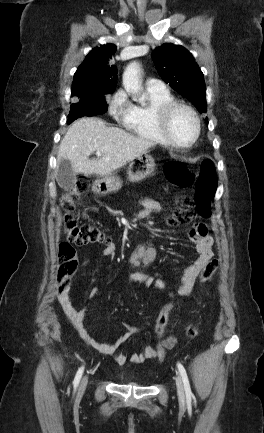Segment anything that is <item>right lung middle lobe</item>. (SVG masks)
I'll list each match as a JSON object with an SVG mask.
<instances>
[{"label":"right lung middle lobe","mask_w":264,"mask_h":433,"mask_svg":"<svg viewBox=\"0 0 264 433\" xmlns=\"http://www.w3.org/2000/svg\"><path fill=\"white\" fill-rule=\"evenodd\" d=\"M105 94L110 93L78 98V102L71 104L69 123L82 116H94L105 113L107 111V103L104 99Z\"/></svg>","instance_id":"right-lung-middle-lobe-1"}]
</instances>
